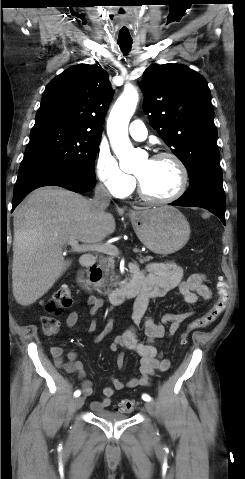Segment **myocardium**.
I'll use <instances>...</instances> for the list:
<instances>
[{"instance_id": "myocardium-1", "label": "myocardium", "mask_w": 245, "mask_h": 479, "mask_svg": "<svg viewBox=\"0 0 245 479\" xmlns=\"http://www.w3.org/2000/svg\"><path fill=\"white\" fill-rule=\"evenodd\" d=\"M162 158L171 159L175 163L179 171L178 187L173 194L163 198L153 197L145 191L140 178L138 176H135L138 195L143 200L153 204H168V203L174 202L175 200H177L184 194L188 185V179H189L188 170L186 165L182 161V159L177 154L171 151L157 152L154 155H152L150 159L155 160V159H162Z\"/></svg>"}]
</instances>
